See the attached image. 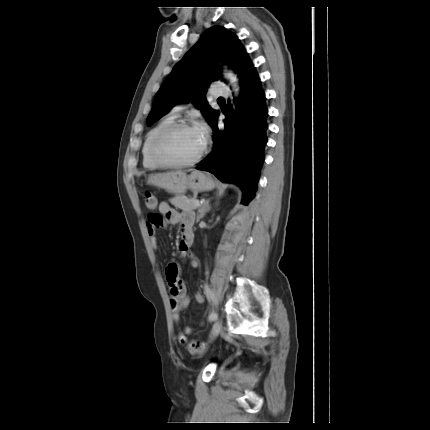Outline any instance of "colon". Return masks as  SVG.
<instances>
[{
    "instance_id": "1",
    "label": "colon",
    "mask_w": 430,
    "mask_h": 430,
    "mask_svg": "<svg viewBox=\"0 0 430 430\" xmlns=\"http://www.w3.org/2000/svg\"><path fill=\"white\" fill-rule=\"evenodd\" d=\"M145 202L149 209H154L156 207V198L151 192H145ZM157 220L159 218L157 217ZM204 348V344L200 342L199 340H192L189 342L187 349L190 354L197 355L199 354Z\"/></svg>"
}]
</instances>
